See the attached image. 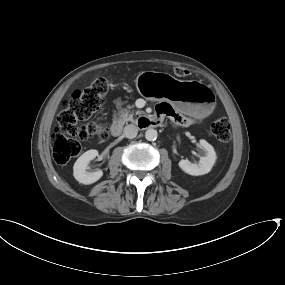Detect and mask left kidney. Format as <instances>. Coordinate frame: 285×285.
<instances>
[{
  "label": "left kidney",
  "instance_id": "1",
  "mask_svg": "<svg viewBox=\"0 0 285 285\" xmlns=\"http://www.w3.org/2000/svg\"><path fill=\"white\" fill-rule=\"evenodd\" d=\"M200 147L204 150L205 156L201 157L199 163H191L189 160H181L179 167L187 174L199 176L207 174L211 171L217 159L215 150L206 140L199 141Z\"/></svg>",
  "mask_w": 285,
  "mask_h": 285
}]
</instances>
